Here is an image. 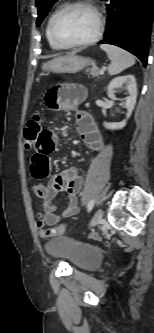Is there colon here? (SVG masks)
<instances>
[{
	"label": "colon",
	"mask_w": 154,
	"mask_h": 333,
	"mask_svg": "<svg viewBox=\"0 0 154 333\" xmlns=\"http://www.w3.org/2000/svg\"><path fill=\"white\" fill-rule=\"evenodd\" d=\"M43 127V119L39 114L33 115L27 122L24 128V142L27 148L33 147L37 135L42 130ZM39 228H42L43 222L42 220H38ZM64 225H61L57 228L49 229V230H41V234L45 237H52L64 232ZM96 237V235L94 236Z\"/></svg>",
	"instance_id": "1"
}]
</instances>
